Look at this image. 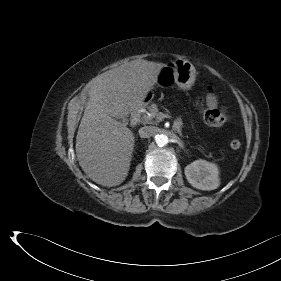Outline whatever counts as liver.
<instances>
[{"instance_id":"6515ba94","label":"liver","mask_w":281,"mask_h":281,"mask_svg":"<svg viewBox=\"0 0 281 281\" xmlns=\"http://www.w3.org/2000/svg\"><path fill=\"white\" fill-rule=\"evenodd\" d=\"M165 64L134 60L92 80L90 97L76 136V156L95 183L120 185L130 168L135 137L118 119L145 105Z\"/></svg>"}]
</instances>
